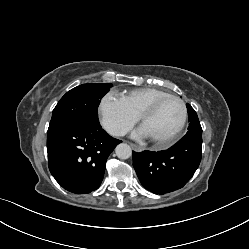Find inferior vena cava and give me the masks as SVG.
<instances>
[{"instance_id":"1","label":"inferior vena cava","mask_w":249,"mask_h":249,"mask_svg":"<svg viewBox=\"0 0 249 249\" xmlns=\"http://www.w3.org/2000/svg\"><path fill=\"white\" fill-rule=\"evenodd\" d=\"M111 134L116 135V136H124L126 134V131L124 129L120 128H113L110 131Z\"/></svg>"}]
</instances>
